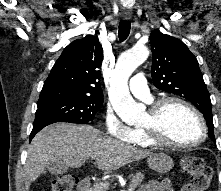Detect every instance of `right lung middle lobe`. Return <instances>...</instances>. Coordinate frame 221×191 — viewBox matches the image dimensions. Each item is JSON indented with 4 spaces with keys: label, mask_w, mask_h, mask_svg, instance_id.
Masks as SVG:
<instances>
[{
    "label": "right lung middle lobe",
    "mask_w": 221,
    "mask_h": 191,
    "mask_svg": "<svg viewBox=\"0 0 221 191\" xmlns=\"http://www.w3.org/2000/svg\"><path fill=\"white\" fill-rule=\"evenodd\" d=\"M103 99L73 98L37 103L38 113H46L58 122L85 124L92 121Z\"/></svg>",
    "instance_id": "obj_1"
}]
</instances>
